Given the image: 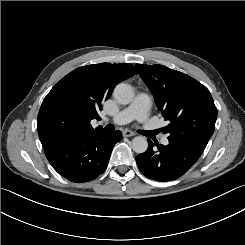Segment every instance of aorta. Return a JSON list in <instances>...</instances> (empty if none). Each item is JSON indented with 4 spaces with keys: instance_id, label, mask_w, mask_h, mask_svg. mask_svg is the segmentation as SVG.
Instances as JSON below:
<instances>
[{
    "instance_id": "762f6f07",
    "label": "aorta",
    "mask_w": 245,
    "mask_h": 245,
    "mask_svg": "<svg viewBox=\"0 0 245 245\" xmlns=\"http://www.w3.org/2000/svg\"><path fill=\"white\" fill-rule=\"evenodd\" d=\"M113 96L118 103L125 105L129 104L132 101L134 93L130 85L120 83L115 87L113 91ZM131 147L136 153L141 154L147 150L148 142L146 138L142 136H137L133 138L131 142Z\"/></svg>"
}]
</instances>
